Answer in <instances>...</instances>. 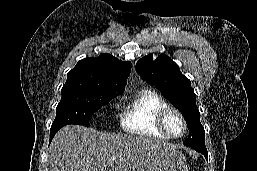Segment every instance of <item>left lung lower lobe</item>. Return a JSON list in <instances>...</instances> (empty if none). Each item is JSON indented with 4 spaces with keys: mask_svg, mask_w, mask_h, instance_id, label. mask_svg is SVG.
<instances>
[{
    "mask_svg": "<svg viewBox=\"0 0 257 171\" xmlns=\"http://www.w3.org/2000/svg\"><path fill=\"white\" fill-rule=\"evenodd\" d=\"M197 152L202 153L205 158L208 160V151L206 149V147H198V148H194Z\"/></svg>",
    "mask_w": 257,
    "mask_h": 171,
    "instance_id": "left-lung-lower-lobe-1",
    "label": "left lung lower lobe"
}]
</instances>
